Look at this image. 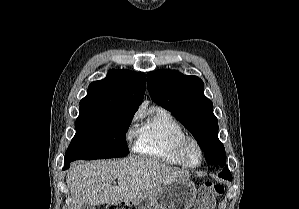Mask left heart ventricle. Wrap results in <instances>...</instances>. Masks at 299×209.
Wrapping results in <instances>:
<instances>
[{
	"instance_id": "1",
	"label": "left heart ventricle",
	"mask_w": 299,
	"mask_h": 209,
	"mask_svg": "<svg viewBox=\"0 0 299 209\" xmlns=\"http://www.w3.org/2000/svg\"><path fill=\"white\" fill-rule=\"evenodd\" d=\"M186 157L187 161L192 165H196L199 163L200 154L195 145H190L188 147Z\"/></svg>"
}]
</instances>
